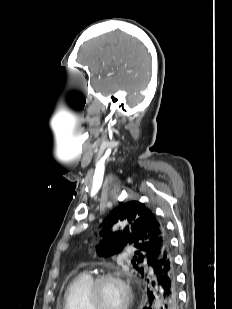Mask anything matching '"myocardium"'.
<instances>
[{"mask_svg": "<svg viewBox=\"0 0 232 309\" xmlns=\"http://www.w3.org/2000/svg\"><path fill=\"white\" fill-rule=\"evenodd\" d=\"M111 280L119 282L125 288L127 299L123 309H131L134 301L132 286L126 279L125 274L119 270L103 272L93 278L88 291L90 309H102L100 305V289L105 282Z\"/></svg>", "mask_w": 232, "mask_h": 309, "instance_id": "f54148a6", "label": "myocardium"}]
</instances>
